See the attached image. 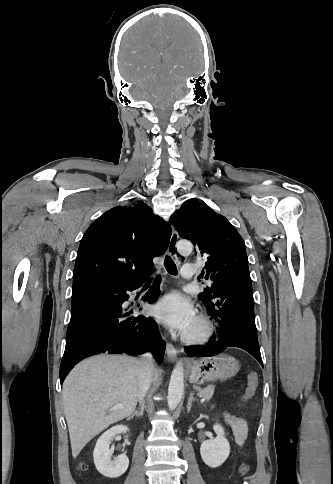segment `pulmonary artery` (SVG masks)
Masks as SVG:
<instances>
[{"instance_id": "obj_1", "label": "pulmonary artery", "mask_w": 333, "mask_h": 484, "mask_svg": "<svg viewBox=\"0 0 333 484\" xmlns=\"http://www.w3.org/2000/svg\"><path fill=\"white\" fill-rule=\"evenodd\" d=\"M196 273V265L192 263H186L182 266L181 274L185 278H190Z\"/></svg>"}]
</instances>
